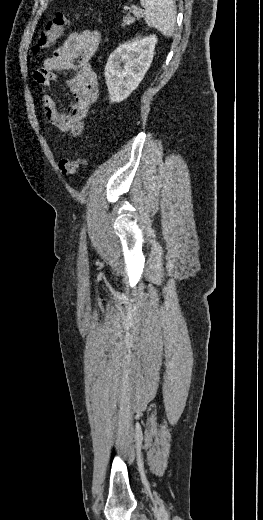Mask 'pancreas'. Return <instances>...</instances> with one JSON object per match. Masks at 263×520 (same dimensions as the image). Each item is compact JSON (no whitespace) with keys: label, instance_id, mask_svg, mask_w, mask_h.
<instances>
[{"label":"pancreas","instance_id":"1","mask_svg":"<svg viewBox=\"0 0 263 520\" xmlns=\"http://www.w3.org/2000/svg\"><path fill=\"white\" fill-rule=\"evenodd\" d=\"M133 13L136 18L139 20L142 18V11L138 9H131L130 12L123 18L122 26L125 27L127 25H131L135 22V18L130 15V13Z\"/></svg>","mask_w":263,"mask_h":520}]
</instances>
